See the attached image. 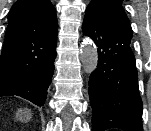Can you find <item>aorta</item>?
<instances>
[{"label": "aorta", "instance_id": "obj_1", "mask_svg": "<svg viewBox=\"0 0 151 131\" xmlns=\"http://www.w3.org/2000/svg\"><path fill=\"white\" fill-rule=\"evenodd\" d=\"M80 60L83 70L87 74H91L98 65V52L94 44L85 40L82 45Z\"/></svg>", "mask_w": 151, "mask_h": 131}]
</instances>
